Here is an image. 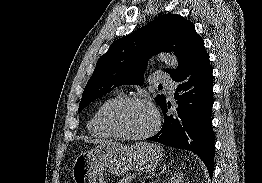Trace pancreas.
Listing matches in <instances>:
<instances>
[{
	"label": "pancreas",
	"mask_w": 262,
	"mask_h": 183,
	"mask_svg": "<svg viewBox=\"0 0 262 183\" xmlns=\"http://www.w3.org/2000/svg\"><path fill=\"white\" fill-rule=\"evenodd\" d=\"M133 178H134L133 175H127V176L123 177L122 179H120L119 182H117V183H131Z\"/></svg>",
	"instance_id": "obj_1"
}]
</instances>
